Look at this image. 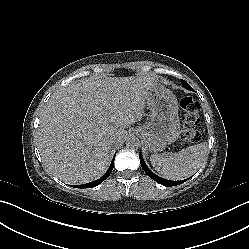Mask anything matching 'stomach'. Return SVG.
I'll list each match as a JSON object with an SVG mask.
<instances>
[{
    "label": "stomach",
    "instance_id": "1",
    "mask_svg": "<svg viewBox=\"0 0 249 249\" xmlns=\"http://www.w3.org/2000/svg\"><path fill=\"white\" fill-rule=\"evenodd\" d=\"M151 111L148 125L139 129L147 148L160 151L175 142L180 133V123L176 113V99L173 93L153 83L144 96Z\"/></svg>",
    "mask_w": 249,
    "mask_h": 249
}]
</instances>
